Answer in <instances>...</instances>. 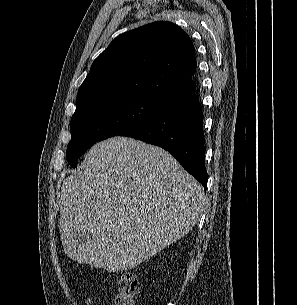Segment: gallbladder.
Masks as SVG:
<instances>
[{"label": "gallbladder", "mask_w": 297, "mask_h": 305, "mask_svg": "<svg viewBox=\"0 0 297 305\" xmlns=\"http://www.w3.org/2000/svg\"><path fill=\"white\" fill-rule=\"evenodd\" d=\"M92 235L93 234L91 231L83 230L76 234V236L74 237V240L78 245L85 244L92 237Z\"/></svg>", "instance_id": "bac80fb5"}]
</instances>
